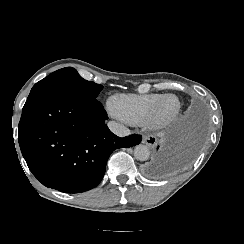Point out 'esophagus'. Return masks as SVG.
Segmentation results:
<instances>
[{"label":"esophagus","mask_w":244,"mask_h":244,"mask_svg":"<svg viewBox=\"0 0 244 244\" xmlns=\"http://www.w3.org/2000/svg\"><path fill=\"white\" fill-rule=\"evenodd\" d=\"M142 143L146 144L149 148H154L157 145V138L152 134L144 135Z\"/></svg>","instance_id":"esophagus-1"}]
</instances>
